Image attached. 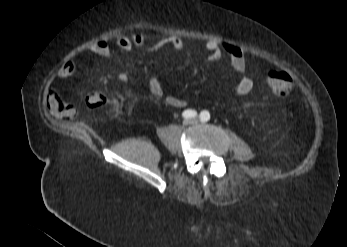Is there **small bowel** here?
<instances>
[{
    "mask_svg": "<svg viewBox=\"0 0 347 247\" xmlns=\"http://www.w3.org/2000/svg\"><path fill=\"white\" fill-rule=\"evenodd\" d=\"M116 45L123 51H132L134 49L142 50L146 53L159 51L165 48H172L180 51L184 48V42L178 37L168 36L162 38L150 39L146 34L134 32L130 35H119L115 39ZM205 50L210 62H220L224 59L229 61L231 70L239 75V79L235 85V91L239 95L250 93L254 87L253 79L245 74L246 58L243 51L238 47L230 44H219L215 41L205 43ZM85 51L102 58H108L111 54V48L106 40L95 41L85 47ZM75 73V65L67 62L61 66L58 75L61 78L71 77ZM148 90L156 98H161L164 93L162 82L151 77L148 80ZM165 103L173 108H182L186 106L187 101L177 96H168ZM47 105L51 113L60 118H73L76 115V108L71 103L61 100L55 95H51L47 99Z\"/></svg>",
    "mask_w": 347,
    "mask_h": 247,
    "instance_id": "obj_1",
    "label": "small bowel"
}]
</instances>
